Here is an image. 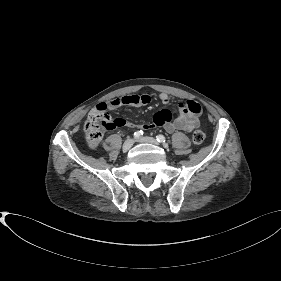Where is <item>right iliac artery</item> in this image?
<instances>
[{
	"instance_id": "1",
	"label": "right iliac artery",
	"mask_w": 281,
	"mask_h": 281,
	"mask_svg": "<svg viewBox=\"0 0 281 281\" xmlns=\"http://www.w3.org/2000/svg\"><path fill=\"white\" fill-rule=\"evenodd\" d=\"M143 134V131H136L134 133V138H139Z\"/></svg>"
}]
</instances>
